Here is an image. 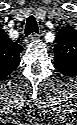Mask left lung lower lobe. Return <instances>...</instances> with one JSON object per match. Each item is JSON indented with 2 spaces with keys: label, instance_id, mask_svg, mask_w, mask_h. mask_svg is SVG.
I'll use <instances>...</instances> for the list:
<instances>
[{
  "label": "left lung lower lobe",
  "instance_id": "obj_1",
  "mask_svg": "<svg viewBox=\"0 0 77 125\" xmlns=\"http://www.w3.org/2000/svg\"><path fill=\"white\" fill-rule=\"evenodd\" d=\"M55 68L65 76H73L76 73L74 67L66 66V65H56Z\"/></svg>",
  "mask_w": 77,
  "mask_h": 125
}]
</instances>
